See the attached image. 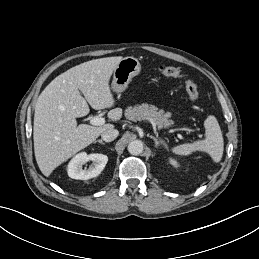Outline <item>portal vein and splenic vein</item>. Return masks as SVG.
<instances>
[{"label": "portal vein and splenic vein", "mask_w": 259, "mask_h": 259, "mask_svg": "<svg viewBox=\"0 0 259 259\" xmlns=\"http://www.w3.org/2000/svg\"><path fill=\"white\" fill-rule=\"evenodd\" d=\"M105 123V119L99 116H95L90 120V124L94 126H101ZM165 128H168L169 126H164Z\"/></svg>", "instance_id": "obj_1"}]
</instances>
